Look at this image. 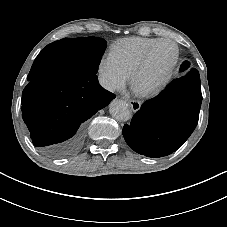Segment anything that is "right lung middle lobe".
I'll list each match as a JSON object with an SVG mask.
<instances>
[{
    "label": "right lung middle lobe",
    "mask_w": 227,
    "mask_h": 227,
    "mask_svg": "<svg viewBox=\"0 0 227 227\" xmlns=\"http://www.w3.org/2000/svg\"><path fill=\"white\" fill-rule=\"evenodd\" d=\"M67 39H70L73 44L69 52L60 61L61 66L75 75L96 76L106 41L98 37ZM40 77H45V74L32 67L27 79L32 81Z\"/></svg>",
    "instance_id": "dd1d6c3e"
}]
</instances>
